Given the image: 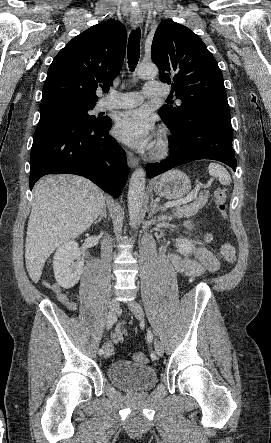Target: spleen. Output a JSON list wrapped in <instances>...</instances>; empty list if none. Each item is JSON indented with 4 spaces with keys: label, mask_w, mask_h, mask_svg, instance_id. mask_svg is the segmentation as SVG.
<instances>
[{
    "label": "spleen",
    "mask_w": 271,
    "mask_h": 443,
    "mask_svg": "<svg viewBox=\"0 0 271 443\" xmlns=\"http://www.w3.org/2000/svg\"><path fill=\"white\" fill-rule=\"evenodd\" d=\"M208 172L210 176H214V178H218L220 184L223 186H229L231 182V176L228 174L227 170L220 166V164H209Z\"/></svg>",
    "instance_id": "obj_1"
}]
</instances>
